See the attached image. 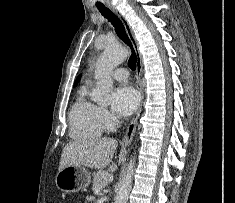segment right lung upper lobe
Returning a JSON list of instances; mask_svg holds the SVG:
<instances>
[{"mask_svg": "<svg viewBox=\"0 0 235 203\" xmlns=\"http://www.w3.org/2000/svg\"><path fill=\"white\" fill-rule=\"evenodd\" d=\"M81 75L76 79L75 85L80 81Z\"/></svg>", "mask_w": 235, "mask_h": 203, "instance_id": "1", "label": "right lung upper lobe"}]
</instances>
